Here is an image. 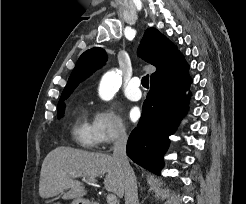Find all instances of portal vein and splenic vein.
Wrapping results in <instances>:
<instances>
[{
    "mask_svg": "<svg viewBox=\"0 0 246 204\" xmlns=\"http://www.w3.org/2000/svg\"><path fill=\"white\" fill-rule=\"evenodd\" d=\"M72 175H73V177H77V175L74 174V173ZM82 180L84 182L88 183V184H95V180L94 179H85V178H83ZM106 199H107V203L108 204H116L117 203V197L113 193H109L107 195V198Z\"/></svg>",
    "mask_w": 246,
    "mask_h": 204,
    "instance_id": "18ae733b",
    "label": "portal vein and splenic vein"
}]
</instances>
